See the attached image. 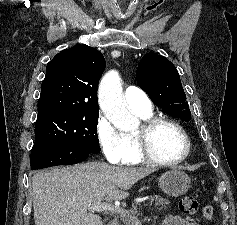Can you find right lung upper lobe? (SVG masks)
Segmentation results:
<instances>
[{
  "mask_svg": "<svg viewBox=\"0 0 237 225\" xmlns=\"http://www.w3.org/2000/svg\"><path fill=\"white\" fill-rule=\"evenodd\" d=\"M105 65L103 55L87 45H76L55 55L42 81L37 121L99 112L97 85Z\"/></svg>",
  "mask_w": 237,
  "mask_h": 225,
  "instance_id": "obj_1",
  "label": "right lung upper lobe"
}]
</instances>
